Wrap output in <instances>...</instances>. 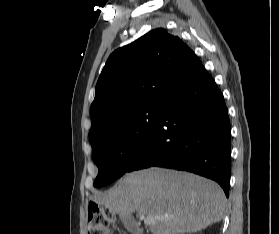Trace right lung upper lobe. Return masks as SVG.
I'll return each instance as SVG.
<instances>
[{
	"label": "right lung upper lobe",
	"mask_w": 279,
	"mask_h": 234,
	"mask_svg": "<svg viewBox=\"0 0 279 234\" xmlns=\"http://www.w3.org/2000/svg\"><path fill=\"white\" fill-rule=\"evenodd\" d=\"M201 67L195 53L163 28L117 49L96 85L90 142L106 134L125 115L162 108Z\"/></svg>",
	"instance_id": "1"
}]
</instances>
